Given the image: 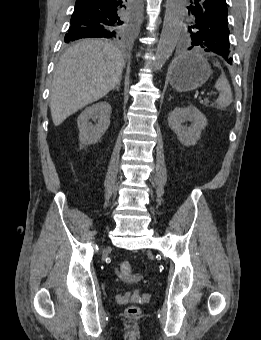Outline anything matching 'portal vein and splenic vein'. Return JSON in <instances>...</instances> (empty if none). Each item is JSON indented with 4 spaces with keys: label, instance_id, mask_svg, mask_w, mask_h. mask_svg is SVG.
Instances as JSON below:
<instances>
[{
    "label": "portal vein and splenic vein",
    "instance_id": "obj_1",
    "mask_svg": "<svg viewBox=\"0 0 261 340\" xmlns=\"http://www.w3.org/2000/svg\"><path fill=\"white\" fill-rule=\"evenodd\" d=\"M214 94H215L214 92L207 93L208 96H213Z\"/></svg>",
    "mask_w": 261,
    "mask_h": 340
}]
</instances>
